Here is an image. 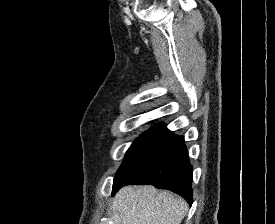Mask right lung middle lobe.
Instances as JSON below:
<instances>
[{
    "label": "right lung middle lobe",
    "instance_id": "obj_1",
    "mask_svg": "<svg viewBox=\"0 0 275 224\" xmlns=\"http://www.w3.org/2000/svg\"><path fill=\"white\" fill-rule=\"evenodd\" d=\"M152 129L153 128H151L150 130L144 132L139 138H137L135 140V142L131 145V147L127 151L124 162L122 163V165L118 169V171H120V169L123 167V165L126 163V161L130 158V156L134 153V151L139 147V145L144 141V139L148 136V134L151 132Z\"/></svg>",
    "mask_w": 275,
    "mask_h": 224
}]
</instances>
